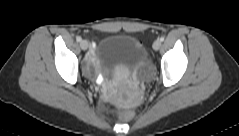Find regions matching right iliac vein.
<instances>
[{"instance_id":"obj_1","label":"right iliac vein","mask_w":239,"mask_h":136,"mask_svg":"<svg viewBox=\"0 0 239 136\" xmlns=\"http://www.w3.org/2000/svg\"><path fill=\"white\" fill-rule=\"evenodd\" d=\"M80 47H81L83 50H87L88 47H89V44H88V42H87L86 40H82V41L80 42Z\"/></svg>"}]
</instances>
